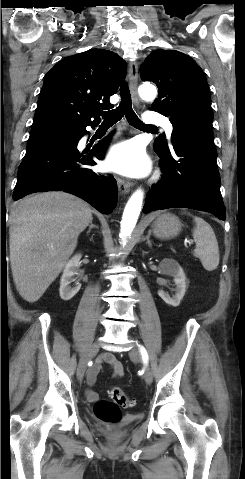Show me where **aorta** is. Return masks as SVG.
Returning a JSON list of instances; mask_svg holds the SVG:
<instances>
[{
  "mask_svg": "<svg viewBox=\"0 0 245 479\" xmlns=\"http://www.w3.org/2000/svg\"><path fill=\"white\" fill-rule=\"evenodd\" d=\"M139 95L143 100L152 101L157 95V90L153 85L145 84L139 87ZM143 191H135L128 200L123 212L121 221L120 238L122 244H126V239L131 236L137 223L143 203Z\"/></svg>",
  "mask_w": 245,
  "mask_h": 479,
  "instance_id": "762f6f07",
  "label": "aorta"
}]
</instances>
